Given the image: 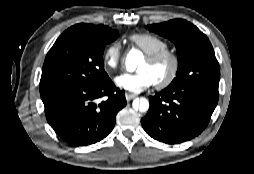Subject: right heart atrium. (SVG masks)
Returning a JSON list of instances; mask_svg holds the SVG:
<instances>
[{"mask_svg": "<svg viewBox=\"0 0 254 174\" xmlns=\"http://www.w3.org/2000/svg\"><path fill=\"white\" fill-rule=\"evenodd\" d=\"M122 61V50L119 42L110 43L103 52V63L109 69H116Z\"/></svg>", "mask_w": 254, "mask_h": 174, "instance_id": "right-heart-atrium-1", "label": "right heart atrium"}]
</instances>
